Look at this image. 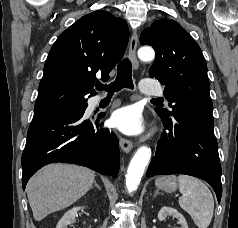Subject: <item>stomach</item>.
Instances as JSON below:
<instances>
[{
    "label": "stomach",
    "instance_id": "1",
    "mask_svg": "<svg viewBox=\"0 0 238 228\" xmlns=\"http://www.w3.org/2000/svg\"><path fill=\"white\" fill-rule=\"evenodd\" d=\"M156 186L166 192H173L177 189V179L173 175L158 177L155 181Z\"/></svg>",
    "mask_w": 238,
    "mask_h": 228
}]
</instances>
